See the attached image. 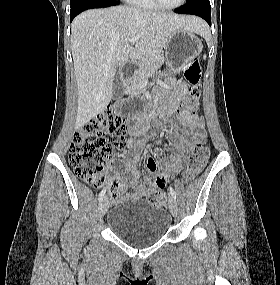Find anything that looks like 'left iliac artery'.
I'll return each instance as SVG.
<instances>
[{
  "mask_svg": "<svg viewBox=\"0 0 280 285\" xmlns=\"http://www.w3.org/2000/svg\"><path fill=\"white\" fill-rule=\"evenodd\" d=\"M169 190H170V194H171V196L176 200V192H175V190L170 186L169 187Z\"/></svg>",
  "mask_w": 280,
  "mask_h": 285,
  "instance_id": "left-iliac-artery-1",
  "label": "left iliac artery"
}]
</instances>
